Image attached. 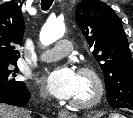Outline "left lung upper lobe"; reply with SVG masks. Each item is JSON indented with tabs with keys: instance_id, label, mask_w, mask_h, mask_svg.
Masks as SVG:
<instances>
[{
	"instance_id": "left-lung-upper-lobe-1",
	"label": "left lung upper lobe",
	"mask_w": 133,
	"mask_h": 118,
	"mask_svg": "<svg viewBox=\"0 0 133 118\" xmlns=\"http://www.w3.org/2000/svg\"><path fill=\"white\" fill-rule=\"evenodd\" d=\"M75 21L103 71L110 106L133 110V66L128 41L116 13L100 0H82Z\"/></svg>"
}]
</instances>
